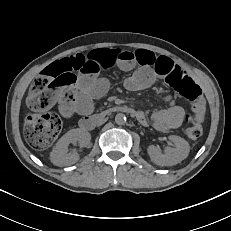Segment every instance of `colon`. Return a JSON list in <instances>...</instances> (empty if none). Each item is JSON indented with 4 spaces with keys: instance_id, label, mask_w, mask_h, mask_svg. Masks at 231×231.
Wrapping results in <instances>:
<instances>
[{
    "instance_id": "5ec220e1",
    "label": "colon",
    "mask_w": 231,
    "mask_h": 231,
    "mask_svg": "<svg viewBox=\"0 0 231 231\" xmlns=\"http://www.w3.org/2000/svg\"><path fill=\"white\" fill-rule=\"evenodd\" d=\"M74 83V73L62 61L46 67L34 80L27 97V104L32 113L26 117L24 124L26 140L34 149H46L58 137L62 127L61 119L47 110L60 98L70 97ZM168 83L181 96L190 100L201 96L199 86L186 73L172 74ZM202 132V127L196 124L185 129L186 136L191 140L199 139Z\"/></svg>"
}]
</instances>
